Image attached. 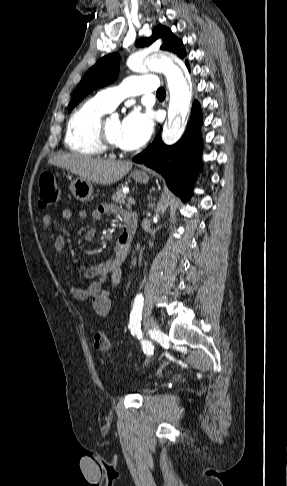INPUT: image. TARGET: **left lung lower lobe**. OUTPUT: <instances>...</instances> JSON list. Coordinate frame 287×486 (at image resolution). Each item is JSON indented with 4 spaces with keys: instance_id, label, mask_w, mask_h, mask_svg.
Here are the masks:
<instances>
[{
    "instance_id": "left-lung-lower-lobe-1",
    "label": "left lung lower lobe",
    "mask_w": 287,
    "mask_h": 486,
    "mask_svg": "<svg viewBox=\"0 0 287 486\" xmlns=\"http://www.w3.org/2000/svg\"><path fill=\"white\" fill-rule=\"evenodd\" d=\"M185 64L190 71L188 60ZM201 122L200 105L195 101L191 121L184 136L176 144L165 145L160 134H157L152 144L133 158L134 162L161 173L169 188L184 202L190 198L195 178L202 168V142L199 133Z\"/></svg>"
}]
</instances>
